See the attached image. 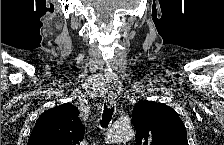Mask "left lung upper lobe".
I'll return each instance as SVG.
<instances>
[{"label": "left lung upper lobe", "mask_w": 224, "mask_h": 145, "mask_svg": "<svg viewBox=\"0 0 224 145\" xmlns=\"http://www.w3.org/2000/svg\"><path fill=\"white\" fill-rule=\"evenodd\" d=\"M132 123L137 145H188L182 120L166 104L139 101L133 109Z\"/></svg>", "instance_id": "left-lung-upper-lobe-1"}]
</instances>
